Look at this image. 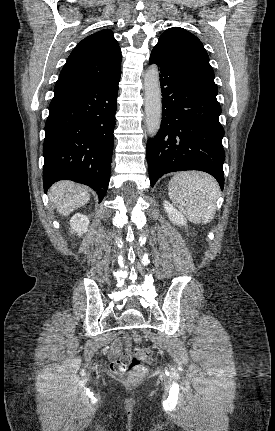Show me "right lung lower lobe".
I'll use <instances>...</instances> for the list:
<instances>
[{
    "label": "right lung lower lobe",
    "instance_id": "1",
    "mask_svg": "<svg viewBox=\"0 0 275 431\" xmlns=\"http://www.w3.org/2000/svg\"><path fill=\"white\" fill-rule=\"evenodd\" d=\"M120 75L54 94L43 145L45 191L68 179L90 186L103 199L110 180Z\"/></svg>",
    "mask_w": 275,
    "mask_h": 431
}]
</instances>
